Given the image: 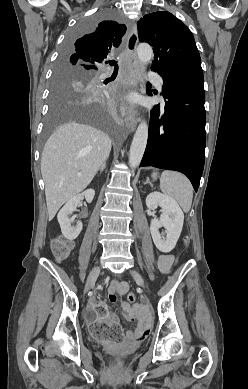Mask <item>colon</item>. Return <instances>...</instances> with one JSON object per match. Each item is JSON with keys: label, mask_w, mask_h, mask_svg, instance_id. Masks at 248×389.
<instances>
[{"label": "colon", "mask_w": 248, "mask_h": 389, "mask_svg": "<svg viewBox=\"0 0 248 389\" xmlns=\"http://www.w3.org/2000/svg\"><path fill=\"white\" fill-rule=\"evenodd\" d=\"M71 246L70 242L61 238H54L51 242L52 251L59 259L65 258L69 254ZM135 299L136 297L134 293H129L127 295L128 302L134 303ZM94 310L95 318H99V320L102 321L89 323V328L91 329L95 339L100 340L101 344H121L122 335L119 322H110L108 327L104 326V324L108 323V320L104 319L109 316L107 305L100 302L99 305H95ZM119 362L120 359L118 356L114 355L111 357L112 366H117Z\"/></svg>", "instance_id": "colon-1"}]
</instances>
